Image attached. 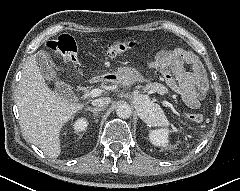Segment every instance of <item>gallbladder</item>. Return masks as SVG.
Masks as SVG:
<instances>
[{
    "label": "gallbladder",
    "mask_w": 240,
    "mask_h": 191,
    "mask_svg": "<svg viewBox=\"0 0 240 191\" xmlns=\"http://www.w3.org/2000/svg\"><path fill=\"white\" fill-rule=\"evenodd\" d=\"M35 60L43 78L55 86V91L65 97L71 98L73 91L70 85L61 80L56 69L49 62L47 56L43 53H37Z\"/></svg>",
    "instance_id": "bac80fb5"
}]
</instances>
